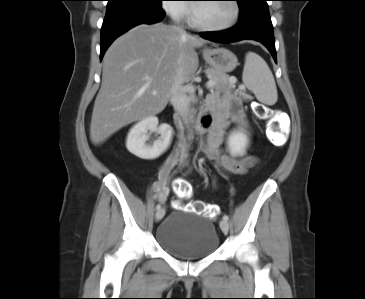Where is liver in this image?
Instances as JSON below:
<instances>
[{"label":"liver","mask_w":365,"mask_h":299,"mask_svg":"<svg viewBox=\"0 0 365 299\" xmlns=\"http://www.w3.org/2000/svg\"><path fill=\"white\" fill-rule=\"evenodd\" d=\"M206 42L163 23L136 26L116 39L103 59L91 141L100 144L122 127L160 113L170 99L177 72L182 83L194 77L199 66L195 48Z\"/></svg>","instance_id":"1"}]
</instances>
